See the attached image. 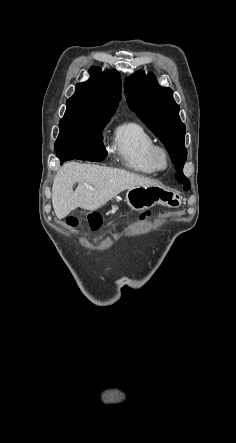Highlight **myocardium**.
Wrapping results in <instances>:
<instances>
[{"label":"myocardium","mask_w":236,"mask_h":443,"mask_svg":"<svg viewBox=\"0 0 236 443\" xmlns=\"http://www.w3.org/2000/svg\"><path fill=\"white\" fill-rule=\"evenodd\" d=\"M151 159L157 170H165L170 163L168 150L160 145H155L152 148Z\"/></svg>","instance_id":"f54148a6"}]
</instances>
